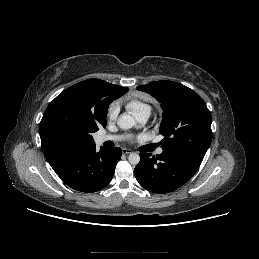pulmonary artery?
Here are the masks:
<instances>
[{"instance_id":"pulmonary-artery-1","label":"pulmonary artery","mask_w":259,"mask_h":259,"mask_svg":"<svg viewBox=\"0 0 259 259\" xmlns=\"http://www.w3.org/2000/svg\"><path fill=\"white\" fill-rule=\"evenodd\" d=\"M135 116H136V118L139 122L145 123L150 116V111L144 110V111H141V112L137 113ZM122 139H123V136H119V135H103V136H100L98 140H99L100 143H104V142H107V141H120ZM162 151L163 150L161 148H159L156 151V153L161 154Z\"/></svg>"}]
</instances>
